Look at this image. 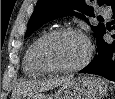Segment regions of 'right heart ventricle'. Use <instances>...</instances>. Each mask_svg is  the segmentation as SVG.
I'll return each instance as SVG.
<instances>
[{
  "instance_id": "1",
  "label": "right heart ventricle",
  "mask_w": 115,
  "mask_h": 99,
  "mask_svg": "<svg viewBox=\"0 0 115 99\" xmlns=\"http://www.w3.org/2000/svg\"><path fill=\"white\" fill-rule=\"evenodd\" d=\"M46 33H43L39 35L37 38H35L32 43L28 46L24 58H23V70L26 76L30 78H37L41 77L45 74H47V71H45L37 62L36 56H35V50L38 41L40 38Z\"/></svg>"
}]
</instances>
